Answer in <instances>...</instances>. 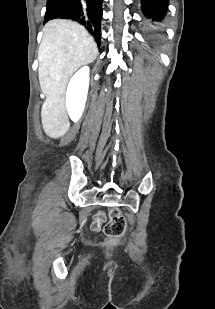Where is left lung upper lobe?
Listing matches in <instances>:
<instances>
[{
	"label": "left lung upper lobe",
	"instance_id": "5c2ea615",
	"mask_svg": "<svg viewBox=\"0 0 215 309\" xmlns=\"http://www.w3.org/2000/svg\"><path fill=\"white\" fill-rule=\"evenodd\" d=\"M142 12L153 22L161 21L168 10V0H141Z\"/></svg>",
	"mask_w": 215,
	"mask_h": 309
}]
</instances>
